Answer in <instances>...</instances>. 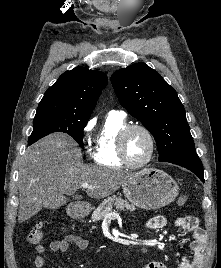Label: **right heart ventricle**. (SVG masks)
Segmentation results:
<instances>
[{
  "mask_svg": "<svg viewBox=\"0 0 221 268\" xmlns=\"http://www.w3.org/2000/svg\"><path fill=\"white\" fill-rule=\"evenodd\" d=\"M126 125L123 116L115 113L107 115L93 152V159L97 164L115 169L125 166L118 156L117 136L119 131Z\"/></svg>",
  "mask_w": 221,
  "mask_h": 268,
  "instance_id": "1",
  "label": "right heart ventricle"
}]
</instances>
